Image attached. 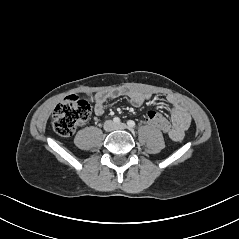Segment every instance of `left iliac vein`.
Listing matches in <instances>:
<instances>
[{"label":"left iliac vein","instance_id":"1","mask_svg":"<svg viewBox=\"0 0 239 239\" xmlns=\"http://www.w3.org/2000/svg\"><path fill=\"white\" fill-rule=\"evenodd\" d=\"M126 128H127V126L124 123H119V124L115 125V129L124 130Z\"/></svg>","mask_w":239,"mask_h":239}]
</instances>
